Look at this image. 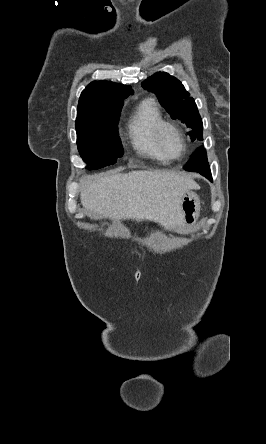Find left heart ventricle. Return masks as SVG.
Masks as SVG:
<instances>
[{
    "label": "left heart ventricle",
    "instance_id": "obj_1",
    "mask_svg": "<svg viewBox=\"0 0 266 444\" xmlns=\"http://www.w3.org/2000/svg\"><path fill=\"white\" fill-rule=\"evenodd\" d=\"M162 144L170 156H178L181 151V141L175 130L166 128L162 134Z\"/></svg>",
    "mask_w": 266,
    "mask_h": 444
}]
</instances>
